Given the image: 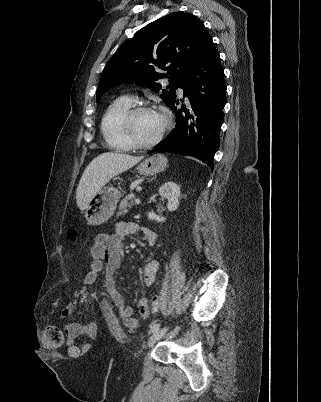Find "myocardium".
Returning <instances> with one entry per match:
<instances>
[{
    "label": "myocardium",
    "mask_w": 321,
    "mask_h": 402,
    "mask_svg": "<svg viewBox=\"0 0 321 402\" xmlns=\"http://www.w3.org/2000/svg\"><path fill=\"white\" fill-rule=\"evenodd\" d=\"M146 111H157V110L147 105H135L126 111L121 120V128L125 139L133 148L136 149H150L155 145H157L162 140L166 132L170 129L172 124L171 118L166 112L157 111L163 116L164 119L163 127L161 128V130L154 139H152L149 142H141L137 139L134 133L133 121L137 114Z\"/></svg>",
    "instance_id": "1"
}]
</instances>
